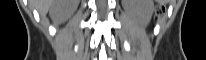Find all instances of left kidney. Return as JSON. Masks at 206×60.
<instances>
[{"instance_id":"obj_1","label":"left kidney","mask_w":206,"mask_h":60,"mask_svg":"<svg viewBox=\"0 0 206 60\" xmlns=\"http://www.w3.org/2000/svg\"><path fill=\"white\" fill-rule=\"evenodd\" d=\"M125 10L133 14L142 26H146L153 12L152 0H124Z\"/></svg>"}]
</instances>
